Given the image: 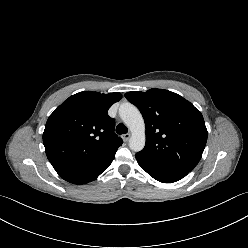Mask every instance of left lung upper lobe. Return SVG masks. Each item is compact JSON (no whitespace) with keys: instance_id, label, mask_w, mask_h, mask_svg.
<instances>
[{"instance_id":"obj_1","label":"left lung upper lobe","mask_w":248,"mask_h":248,"mask_svg":"<svg viewBox=\"0 0 248 248\" xmlns=\"http://www.w3.org/2000/svg\"><path fill=\"white\" fill-rule=\"evenodd\" d=\"M125 97L142 113L146 144L136 154L147 162L192 171L201 159L207 129L201 112L171 91L127 92Z\"/></svg>"}]
</instances>
